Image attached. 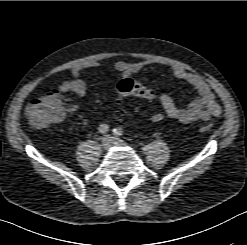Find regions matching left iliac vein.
<instances>
[{"mask_svg":"<svg viewBox=\"0 0 247 245\" xmlns=\"http://www.w3.org/2000/svg\"><path fill=\"white\" fill-rule=\"evenodd\" d=\"M112 139H113V144L114 145H119V146H125L126 145V143L123 140L119 139V138L112 137Z\"/></svg>","mask_w":247,"mask_h":245,"instance_id":"left-iliac-vein-1","label":"left iliac vein"}]
</instances>
